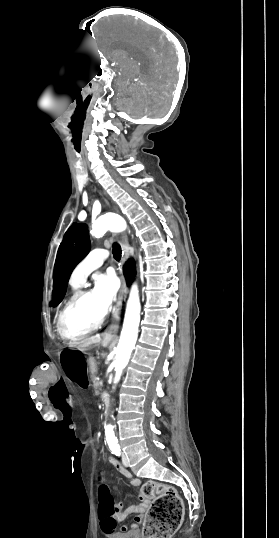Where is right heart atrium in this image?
I'll return each mask as SVG.
<instances>
[{
    "mask_svg": "<svg viewBox=\"0 0 279 538\" xmlns=\"http://www.w3.org/2000/svg\"><path fill=\"white\" fill-rule=\"evenodd\" d=\"M84 217L82 216L81 221H83ZM112 232H115V229H112Z\"/></svg>",
    "mask_w": 279,
    "mask_h": 538,
    "instance_id": "right-heart-atrium-1",
    "label": "right heart atrium"
}]
</instances>
